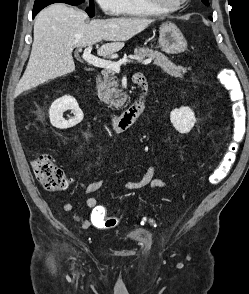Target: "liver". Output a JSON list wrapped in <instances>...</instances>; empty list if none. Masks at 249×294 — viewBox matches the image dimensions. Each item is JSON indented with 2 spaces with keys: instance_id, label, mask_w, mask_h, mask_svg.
Instances as JSON below:
<instances>
[{
  "instance_id": "6515ba94",
  "label": "liver",
  "mask_w": 249,
  "mask_h": 294,
  "mask_svg": "<svg viewBox=\"0 0 249 294\" xmlns=\"http://www.w3.org/2000/svg\"><path fill=\"white\" fill-rule=\"evenodd\" d=\"M87 15L65 4H52L43 9L34 23V41L26 70L17 84L15 95L75 70L72 51L100 42L97 53L111 55L123 48L124 42L151 23L146 18L94 19L86 23Z\"/></svg>"
}]
</instances>
